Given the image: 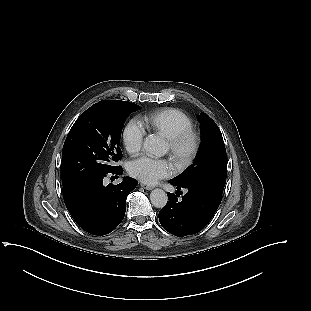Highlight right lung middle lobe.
Masks as SVG:
<instances>
[{"label":"right lung middle lobe","mask_w":311,"mask_h":311,"mask_svg":"<svg viewBox=\"0 0 311 311\" xmlns=\"http://www.w3.org/2000/svg\"><path fill=\"white\" fill-rule=\"evenodd\" d=\"M140 106L121 100H103L88 108L76 120L62 152V185L90 175L117 170L122 158L119 147L127 117Z\"/></svg>","instance_id":"dd1d6c3e"}]
</instances>
